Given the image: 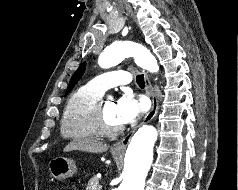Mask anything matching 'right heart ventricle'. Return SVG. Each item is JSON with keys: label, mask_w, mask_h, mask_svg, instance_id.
Instances as JSON below:
<instances>
[{"label": "right heart ventricle", "mask_w": 238, "mask_h": 190, "mask_svg": "<svg viewBox=\"0 0 238 190\" xmlns=\"http://www.w3.org/2000/svg\"><path fill=\"white\" fill-rule=\"evenodd\" d=\"M102 94L83 86L68 99L62 120L61 133L64 137L89 140L100 136L93 123V112Z\"/></svg>", "instance_id": "obj_1"}]
</instances>
